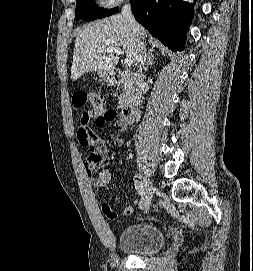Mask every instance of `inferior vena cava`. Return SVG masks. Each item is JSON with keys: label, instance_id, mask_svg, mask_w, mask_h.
I'll list each match as a JSON object with an SVG mask.
<instances>
[{"label": "inferior vena cava", "instance_id": "obj_1", "mask_svg": "<svg viewBox=\"0 0 253 271\" xmlns=\"http://www.w3.org/2000/svg\"><path fill=\"white\" fill-rule=\"evenodd\" d=\"M121 15L128 21L130 27L132 28L135 35L139 38L140 50L137 55V75H136V97L141 93L143 87L145 86L144 73L145 61H146V51L145 46L141 40L143 35V28L136 22L130 4H125L122 8Z\"/></svg>", "mask_w": 253, "mask_h": 271}]
</instances>
